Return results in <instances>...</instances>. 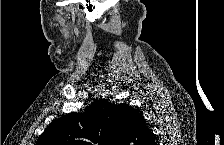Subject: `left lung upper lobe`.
Returning <instances> with one entry per match:
<instances>
[{
	"label": "left lung upper lobe",
	"mask_w": 224,
	"mask_h": 145,
	"mask_svg": "<svg viewBox=\"0 0 224 145\" xmlns=\"http://www.w3.org/2000/svg\"><path fill=\"white\" fill-rule=\"evenodd\" d=\"M137 114L128 104L103 99L85 113H70L52 122L36 145H128Z\"/></svg>",
	"instance_id": "5c2ea615"
}]
</instances>
